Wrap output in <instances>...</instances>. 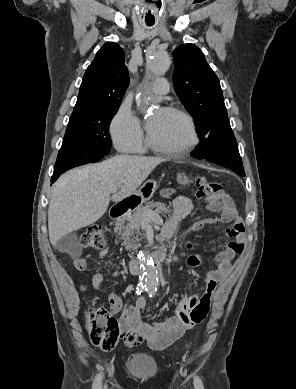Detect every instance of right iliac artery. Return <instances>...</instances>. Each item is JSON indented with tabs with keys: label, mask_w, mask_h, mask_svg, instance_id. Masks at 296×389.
<instances>
[{
	"label": "right iliac artery",
	"mask_w": 296,
	"mask_h": 389,
	"mask_svg": "<svg viewBox=\"0 0 296 389\" xmlns=\"http://www.w3.org/2000/svg\"><path fill=\"white\" fill-rule=\"evenodd\" d=\"M137 293H138V290H137ZM101 375L98 374L95 378V381L93 383V389H101Z\"/></svg>",
	"instance_id": "82829eb1"
}]
</instances>
